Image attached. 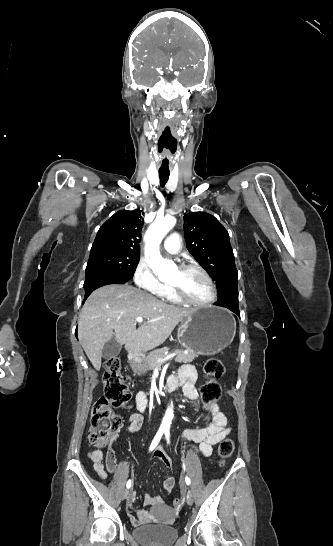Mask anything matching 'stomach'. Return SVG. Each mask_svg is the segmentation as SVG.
Returning <instances> with one entry per match:
<instances>
[{"mask_svg":"<svg viewBox=\"0 0 333 546\" xmlns=\"http://www.w3.org/2000/svg\"><path fill=\"white\" fill-rule=\"evenodd\" d=\"M236 333V321L224 308L198 309L181 322L177 339L190 352L211 356L229 346ZM137 374L145 373L144 360L135 357L130 361Z\"/></svg>","mask_w":333,"mask_h":546,"instance_id":"0dacf381","label":"stomach"}]
</instances>
